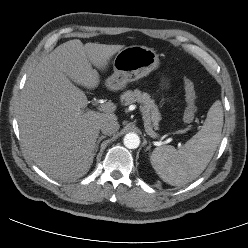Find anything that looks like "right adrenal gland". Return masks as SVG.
Segmentation results:
<instances>
[{"mask_svg": "<svg viewBox=\"0 0 248 248\" xmlns=\"http://www.w3.org/2000/svg\"><path fill=\"white\" fill-rule=\"evenodd\" d=\"M106 138V136L102 135L100 137H98L96 143H95V150H94V156L96 155L97 151H98V147H99V143Z\"/></svg>", "mask_w": 248, "mask_h": 248, "instance_id": "2a0ac1e0", "label": "right adrenal gland"}]
</instances>
